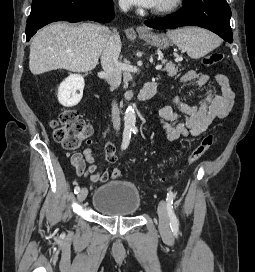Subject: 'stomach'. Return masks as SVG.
Here are the masks:
<instances>
[{
	"label": "stomach",
	"instance_id": "0dacf381",
	"mask_svg": "<svg viewBox=\"0 0 255 272\" xmlns=\"http://www.w3.org/2000/svg\"><path fill=\"white\" fill-rule=\"evenodd\" d=\"M140 38L151 46L157 47L158 49H166L170 46L171 40L167 35L161 33L156 34L153 32H148L146 34L140 33Z\"/></svg>",
	"mask_w": 255,
	"mask_h": 272
}]
</instances>
